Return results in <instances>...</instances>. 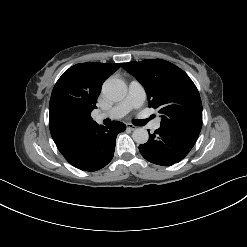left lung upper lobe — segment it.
Masks as SVG:
<instances>
[{
    "mask_svg": "<svg viewBox=\"0 0 247 247\" xmlns=\"http://www.w3.org/2000/svg\"><path fill=\"white\" fill-rule=\"evenodd\" d=\"M122 67L145 88L149 107L158 109L161 114V126L186 128L200 133V95L183 70L162 59L128 62L123 63Z\"/></svg>",
    "mask_w": 247,
    "mask_h": 247,
    "instance_id": "1",
    "label": "left lung upper lobe"
}]
</instances>
